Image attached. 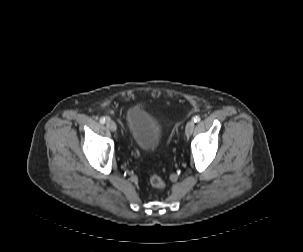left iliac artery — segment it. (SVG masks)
Masks as SVG:
<instances>
[{
  "mask_svg": "<svg viewBox=\"0 0 303 252\" xmlns=\"http://www.w3.org/2000/svg\"><path fill=\"white\" fill-rule=\"evenodd\" d=\"M201 118L199 116L194 117V122H200Z\"/></svg>",
  "mask_w": 303,
  "mask_h": 252,
  "instance_id": "1",
  "label": "left iliac artery"
}]
</instances>
